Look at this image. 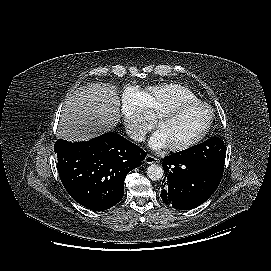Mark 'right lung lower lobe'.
<instances>
[{"mask_svg": "<svg viewBox=\"0 0 271 271\" xmlns=\"http://www.w3.org/2000/svg\"><path fill=\"white\" fill-rule=\"evenodd\" d=\"M58 173L69 195L80 205L103 211L124 193L126 175L141 165L146 152L117 133L87 142L57 140Z\"/></svg>", "mask_w": 271, "mask_h": 271, "instance_id": "1", "label": "right lung lower lobe"}]
</instances>
